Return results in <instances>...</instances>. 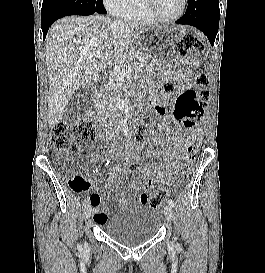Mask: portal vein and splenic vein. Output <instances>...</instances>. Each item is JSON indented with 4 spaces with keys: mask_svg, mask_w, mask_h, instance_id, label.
<instances>
[{
    "mask_svg": "<svg viewBox=\"0 0 265 273\" xmlns=\"http://www.w3.org/2000/svg\"><path fill=\"white\" fill-rule=\"evenodd\" d=\"M99 57H101V54L97 53L96 58H99ZM113 70H114V74L118 76L119 78H122L126 74H130L133 72L131 68L123 67L121 63H114Z\"/></svg>",
    "mask_w": 265,
    "mask_h": 273,
    "instance_id": "1",
    "label": "portal vein and splenic vein"
}]
</instances>
